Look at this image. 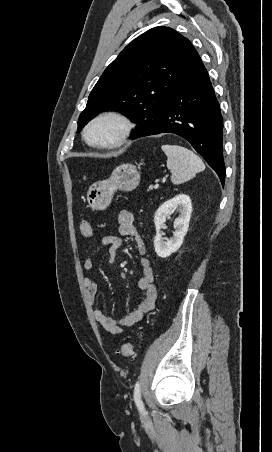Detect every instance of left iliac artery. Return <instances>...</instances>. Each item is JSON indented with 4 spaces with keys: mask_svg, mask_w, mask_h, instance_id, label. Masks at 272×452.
Instances as JSON below:
<instances>
[{
    "mask_svg": "<svg viewBox=\"0 0 272 452\" xmlns=\"http://www.w3.org/2000/svg\"><path fill=\"white\" fill-rule=\"evenodd\" d=\"M134 400H135V403H136L138 409L142 413H144V406H143V403H142V400H141V390H140L139 382H137L135 384V387H134Z\"/></svg>",
    "mask_w": 272,
    "mask_h": 452,
    "instance_id": "left-iliac-artery-1",
    "label": "left iliac artery"
}]
</instances>
